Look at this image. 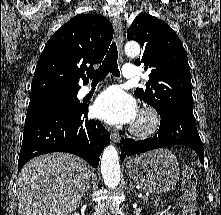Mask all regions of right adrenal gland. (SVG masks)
<instances>
[{"instance_id":"right-adrenal-gland-1","label":"right adrenal gland","mask_w":221,"mask_h":215,"mask_svg":"<svg viewBox=\"0 0 221 215\" xmlns=\"http://www.w3.org/2000/svg\"><path fill=\"white\" fill-rule=\"evenodd\" d=\"M90 189V181L87 183V186L84 190L83 196L85 197L86 192Z\"/></svg>"}]
</instances>
